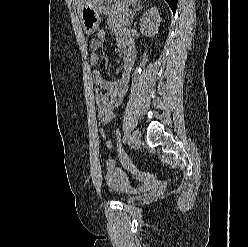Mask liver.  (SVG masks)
<instances>
[{
  "mask_svg": "<svg viewBox=\"0 0 248 247\" xmlns=\"http://www.w3.org/2000/svg\"><path fill=\"white\" fill-rule=\"evenodd\" d=\"M88 0H75V6L77 9V12L79 14L80 9L82 8V6L87 2Z\"/></svg>",
  "mask_w": 248,
  "mask_h": 247,
  "instance_id": "liver-1",
  "label": "liver"
}]
</instances>
